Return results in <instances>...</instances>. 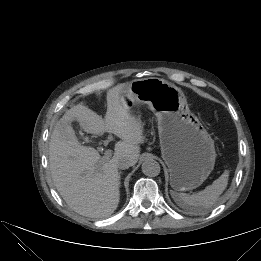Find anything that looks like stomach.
<instances>
[{"label":"stomach","mask_w":261,"mask_h":261,"mask_svg":"<svg viewBox=\"0 0 261 261\" xmlns=\"http://www.w3.org/2000/svg\"><path fill=\"white\" fill-rule=\"evenodd\" d=\"M132 110L147 104L158 120L162 158L170 172L175 191L200 186L214 168V141L190 111L182 90L156 77L134 80L122 92Z\"/></svg>","instance_id":"obj_1"}]
</instances>
